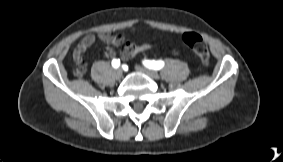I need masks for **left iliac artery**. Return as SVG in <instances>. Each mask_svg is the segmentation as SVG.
Masks as SVG:
<instances>
[{
    "mask_svg": "<svg viewBox=\"0 0 283 162\" xmlns=\"http://www.w3.org/2000/svg\"><path fill=\"white\" fill-rule=\"evenodd\" d=\"M146 67L149 69L159 70L164 66L163 61H155V60H146L143 62Z\"/></svg>",
    "mask_w": 283,
    "mask_h": 162,
    "instance_id": "left-iliac-artery-1",
    "label": "left iliac artery"
}]
</instances>
